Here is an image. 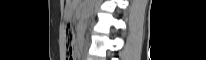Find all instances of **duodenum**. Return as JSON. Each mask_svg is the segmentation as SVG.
Masks as SVG:
<instances>
[{
  "label": "duodenum",
  "instance_id": "obj_1",
  "mask_svg": "<svg viewBox=\"0 0 206 60\" xmlns=\"http://www.w3.org/2000/svg\"><path fill=\"white\" fill-rule=\"evenodd\" d=\"M78 33H79V34H84V33H85V30H84V29H79V30H78Z\"/></svg>",
  "mask_w": 206,
  "mask_h": 60
}]
</instances>
